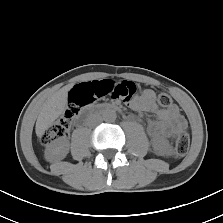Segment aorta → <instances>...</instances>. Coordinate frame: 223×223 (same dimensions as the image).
<instances>
[{
    "label": "aorta",
    "instance_id": "1",
    "mask_svg": "<svg viewBox=\"0 0 223 223\" xmlns=\"http://www.w3.org/2000/svg\"><path fill=\"white\" fill-rule=\"evenodd\" d=\"M117 118L116 112L114 110H105L102 113V119L105 122H114Z\"/></svg>",
    "mask_w": 223,
    "mask_h": 223
}]
</instances>
